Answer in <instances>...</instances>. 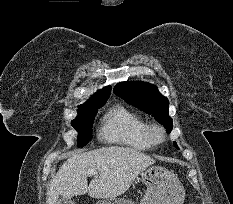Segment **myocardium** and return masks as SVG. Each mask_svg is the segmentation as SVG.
I'll list each match as a JSON object with an SVG mask.
<instances>
[{"label":"myocardium","mask_w":233,"mask_h":204,"mask_svg":"<svg viewBox=\"0 0 233 204\" xmlns=\"http://www.w3.org/2000/svg\"><path fill=\"white\" fill-rule=\"evenodd\" d=\"M148 132L151 137V139L154 141V143H161L164 141L165 133L162 127L159 125H149Z\"/></svg>","instance_id":"1"}]
</instances>
